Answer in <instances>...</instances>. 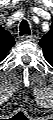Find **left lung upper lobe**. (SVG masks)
<instances>
[{"label":"left lung upper lobe","instance_id":"5c2ea615","mask_svg":"<svg viewBox=\"0 0 53 120\" xmlns=\"http://www.w3.org/2000/svg\"><path fill=\"white\" fill-rule=\"evenodd\" d=\"M53 31L50 30L47 34L43 36L39 44L43 49L44 56L46 60L52 64L53 63Z\"/></svg>","mask_w":53,"mask_h":120}]
</instances>
